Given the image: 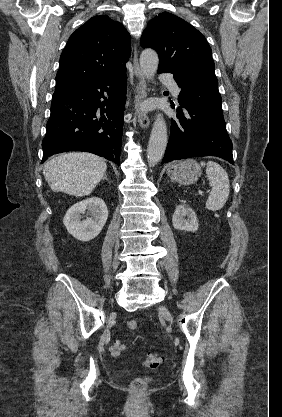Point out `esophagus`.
Segmentation results:
<instances>
[{
	"mask_svg": "<svg viewBox=\"0 0 282 417\" xmlns=\"http://www.w3.org/2000/svg\"><path fill=\"white\" fill-rule=\"evenodd\" d=\"M133 70H134L135 77L138 80V83L135 86L136 95L134 99L137 119H138L139 125L143 129H146L147 127H149V123H150L149 117L143 109L144 100L147 96L146 82L140 69V65L138 61V52H137L136 47L134 48V55H133Z\"/></svg>",
	"mask_w": 282,
	"mask_h": 417,
	"instance_id": "34e87169",
	"label": "esophagus"
}]
</instances>
